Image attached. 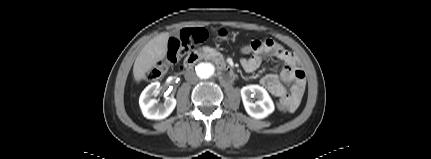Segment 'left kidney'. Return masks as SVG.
Instances as JSON below:
<instances>
[{
    "instance_id": "5707ae66",
    "label": "left kidney",
    "mask_w": 431,
    "mask_h": 159,
    "mask_svg": "<svg viewBox=\"0 0 431 159\" xmlns=\"http://www.w3.org/2000/svg\"><path fill=\"white\" fill-rule=\"evenodd\" d=\"M241 97L246 112L253 118H266L275 109L268 92L260 85L244 86L241 89ZM253 97L257 99L256 102L252 101Z\"/></svg>"
}]
</instances>
